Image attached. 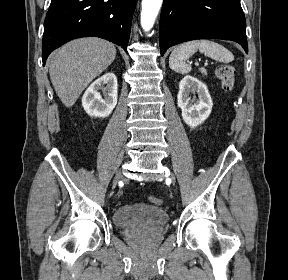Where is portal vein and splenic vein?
I'll return each instance as SVG.
<instances>
[{
  "instance_id": "1",
  "label": "portal vein and splenic vein",
  "mask_w": 288,
  "mask_h": 280,
  "mask_svg": "<svg viewBox=\"0 0 288 280\" xmlns=\"http://www.w3.org/2000/svg\"><path fill=\"white\" fill-rule=\"evenodd\" d=\"M198 65V64H197ZM205 66H207L208 65V63L207 62H205V64H204Z\"/></svg>"
}]
</instances>
